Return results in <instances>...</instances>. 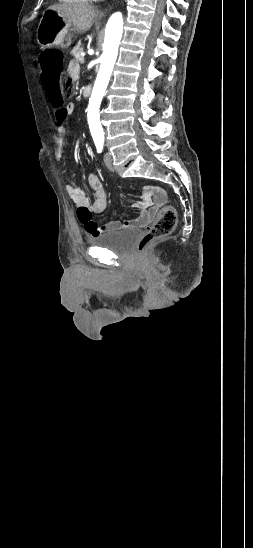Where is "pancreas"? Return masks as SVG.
Segmentation results:
<instances>
[{"label": "pancreas", "instance_id": "1", "mask_svg": "<svg viewBox=\"0 0 253 548\" xmlns=\"http://www.w3.org/2000/svg\"><path fill=\"white\" fill-rule=\"evenodd\" d=\"M82 51L83 47L81 45H77L72 49L71 54L75 57L76 61H80Z\"/></svg>", "mask_w": 253, "mask_h": 548}]
</instances>
